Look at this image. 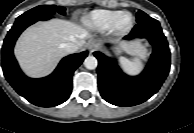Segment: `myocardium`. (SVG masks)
Wrapping results in <instances>:
<instances>
[{"label": "myocardium", "mask_w": 194, "mask_h": 133, "mask_svg": "<svg viewBox=\"0 0 194 133\" xmlns=\"http://www.w3.org/2000/svg\"><path fill=\"white\" fill-rule=\"evenodd\" d=\"M124 14H128L131 17V22L129 24V26H127L126 28H120L119 26V20L120 18L124 15ZM135 24V17L134 15L129 12V11H120L112 20L111 23V27L110 30L117 36H125L127 35L134 27Z\"/></svg>", "instance_id": "obj_1"}]
</instances>
